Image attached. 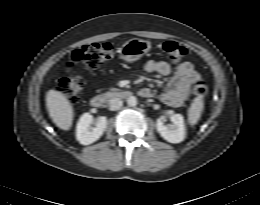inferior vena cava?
Listing matches in <instances>:
<instances>
[{"instance_id": "inferior-vena-cava-1", "label": "inferior vena cava", "mask_w": 260, "mask_h": 205, "mask_svg": "<svg viewBox=\"0 0 260 205\" xmlns=\"http://www.w3.org/2000/svg\"><path fill=\"white\" fill-rule=\"evenodd\" d=\"M123 105V101L120 98H112L109 100V108L112 111L119 110Z\"/></svg>"}]
</instances>
